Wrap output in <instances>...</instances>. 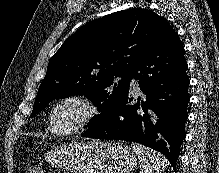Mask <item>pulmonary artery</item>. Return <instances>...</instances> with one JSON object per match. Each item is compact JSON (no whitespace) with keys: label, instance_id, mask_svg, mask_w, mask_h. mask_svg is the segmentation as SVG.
<instances>
[{"label":"pulmonary artery","instance_id":"pulmonary-artery-1","mask_svg":"<svg viewBox=\"0 0 219 173\" xmlns=\"http://www.w3.org/2000/svg\"><path fill=\"white\" fill-rule=\"evenodd\" d=\"M133 89L138 90V86L135 83H133Z\"/></svg>","mask_w":219,"mask_h":173}]
</instances>
